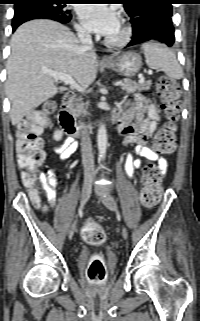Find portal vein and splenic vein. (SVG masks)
<instances>
[{"mask_svg":"<svg viewBox=\"0 0 200 321\" xmlns=\"http://www.w3.org/2000/svg\"><path fill=\"white\" fill-rule=\"evenodd\" d=\"M44 73L53 77L56 80L62 81L67 85H70L72 88L77 89L80 92H83L84 90L80 87V85L70 76L67 75L65 73H57L54 71H50V70H44ZM148 74H152V70L148 71ZM143 77H141V81H143ZM115 86H121L122 85V81H117L114 84Z\"/></svg>","mask_w":200,"mask_h":321,"instance_id":"obj_1","label":"portal vein and splenic vein"}]
</instances>
